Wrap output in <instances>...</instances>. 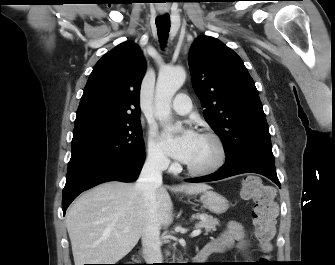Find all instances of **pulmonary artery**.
<instances>
[{
	"label": "pulmonary artery",
	"instance_id": "e3ab8cb5",
	"mask_svg": "<svg viewBox=\"0 0 335 265\" xmlns=\"http://www.w3.org/2000/svg\"><path fill=\"white\" fill-rule=\"evenodd\" d=\"M191 107H192L191 100L188 97V95L184 93L178 94L172 103L173 111L180 115H185L189 113Z\"/></svg>",
	"mask_w": 335,
	"mask_h": 265
}]
</instances>
